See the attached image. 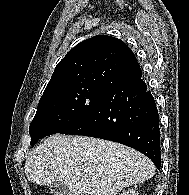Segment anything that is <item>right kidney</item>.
<instances>
[{
    "label": "right kidney",
    "instance_id": "ca27d5eb",
    "mask_svg": "<svg viewBox=\"0 0 189 195\" xmlns=\"http://www.w3.org/2000/svg\"><path fill=\"white\" fill-rule=\"evenodd\" d=\"M119 195H139L137 191L133 190V189H129L127 191H124L122 194Z\"/></svg>",
    "mask_w": 189,
    "mask_h": 195
}]
</instances>
